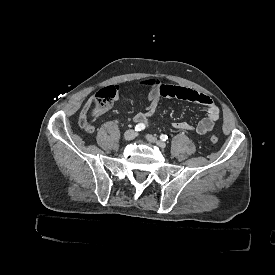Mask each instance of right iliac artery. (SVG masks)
I'll use <instances>...</instances> for the list:
<instances>
[{
    "mask_svg": "<svg viewBox=\"0 0 275 275\" xmlns=\"http://www.w3.org/2000/svg\"><path fill=\"white\" fill-rule=\"evenodd\" d=\"M145 129V125L143 123H139L135 126L136 131H141Z\"/></svg>",
    "mask_w": 275,
    "mask_h": 275,
    "instance_id": "82829eb1",
    "label": "right iliac artery"
}]
</instances>
